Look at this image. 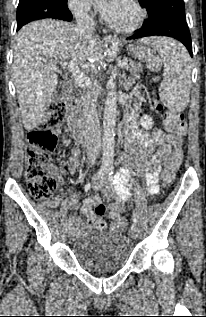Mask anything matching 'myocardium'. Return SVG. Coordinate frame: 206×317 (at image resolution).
<instances>
[{"label":"myocardium","mask_w":206,"mask_h":317,"mask_svg":"<svg viewBox=\"0 0 206 317\" xmlns=\"http://www.w3.org/2000/svg\"><path fill=\"white\" fill-rule=\"evenodd\" d=\"M130 5L134 8L136 12V17L135 19L130 22L129 24L126 25H120L117 24L113 21H111L108 18H105V21L107 25L114 31L119 32V33H132L136 31L144 22L146 18V11L143 8V6L138 2V0H127Z\"/></svg>","instance_id":"1"}]
</instances>
